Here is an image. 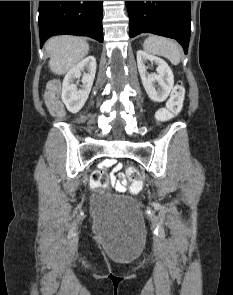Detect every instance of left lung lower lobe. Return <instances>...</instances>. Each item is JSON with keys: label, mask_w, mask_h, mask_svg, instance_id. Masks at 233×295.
Instances as JSON below:
<instances>
[{"label": "left lung lower lobe", "mask_w": 233, "mask_h": 295, "mask_svg": "<svg viewBox=\"0 0 233 295\" xmlns=\"http://www.w3.org/2000/svg\"><path fill=\"white\" fill-rule=\"evenodd\" d=\"M129 36L153 33L176 39L187 53L190 33V1H126Z\"/></svg>", "instance_id": "obj_1"}]
</instances>
